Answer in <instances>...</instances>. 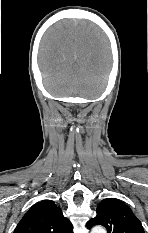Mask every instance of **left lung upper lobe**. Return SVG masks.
Instances as JSON below:
<instances>
[{
	"label": "left lung upper lobe",
	"mask_w": 148,
	"mask_h": 233,
	"mask_svg": "<svg viewBox=\"0 0 148 233\" xmlns=\"http://www.w3.org/2000/svg\"><path fill=\"white\" fill-rule=\"evenodd\" d=\"M96 217L87 222V228L102 225L108 233H144L141 222L132 210L119 199L102 200L96 210Z\"/></svg>",
	"instance_id": "obj_1"
}]
</instances>
